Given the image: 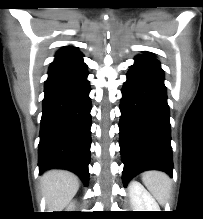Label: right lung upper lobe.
Wrapping results in <instances>:
<instances>
[{"label":"right lung upper lobe","mask_w":203,"mask_h":219,"mask_svg":"<svg viewBox=\"0 0 203 219\" xmlns=\"http://www.w3.org/2000/svg\"><path fill=\"white\" fill-rule=\"evenodd\" d=\"M79 57H82V53L79 52L75 47L65 46L63 49H61L57 53L54 61L74 59V58H79Z\"/></svg>","instance_id":"1"}]
</instances>
